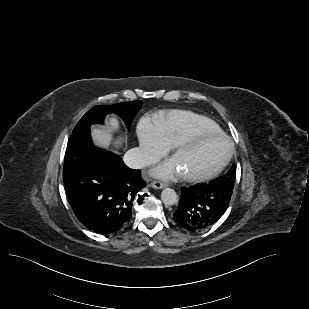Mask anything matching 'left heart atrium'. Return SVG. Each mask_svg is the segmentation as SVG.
I'll use <instances>...</instances> for the list:
<instances>
[{"label":"left heart atrium","instance_id":"39dd6f15","mask_svg":"<svg viewBox=\"0 0 309 309\" xmlns=\"http://www.w3.org/2000/svg\"><path fill=\"white\" fill-rule=\"evenodd\" d=\"M153 174L164 179H178L184 176L185 173L178 160L175 157H172L156 167Z\"/></svg>","mask_w":309,"mask_h":309}]
</instances>
